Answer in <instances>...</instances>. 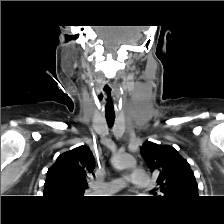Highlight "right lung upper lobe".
Here are the masks:
<instances>
[{"mask_svg":"<svg viewBox=\"0 0 224 224\" xmlns=\"http://www.w3.org/2000/svg\"><path fill=\"white\" fill-rule=\"evenodd\" d=\"M95 161L89 147L82 145L61 154L48 169L44 196H82L88 188Z\"/></svg>","mask_w":224,"mask_h":224,"instance_id":"right-lung-upper-lobe-1","label":"right lung upper lobe"}]
</instances>
